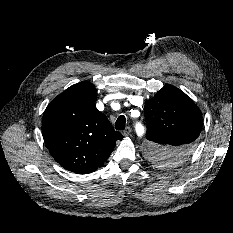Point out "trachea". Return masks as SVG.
Instances as JSON below:
<instances>
[{
    "instance_id": "1",
    "label": "trachea",
    "mask_w": 233,
    "mask_h": 233,
    "mask_svg": "<svg viewBox=\"0 0 233 233\" xmlns=\"http://www.w3.org/2000/svg\"><path fill=\"white\" fill-rule=\"evenodd\" d=\"M126 125V118L125 116L121 115L117 118L115 123L116 130H124Z\"/></svg>"
}]
</instances>
